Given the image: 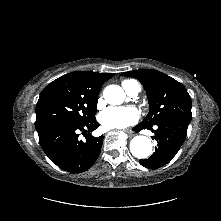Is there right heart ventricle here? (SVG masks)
I'll return each mask as SVG.
<instances>
[{
	"mask_svg": "<svg viewBox=\"0 0 221 221\" xmlns=\"http://www.w3.org/2000/svg\"><path fill=\"white\" fill-rule=\"evenodd\" d=\"M131 83H137V82L134 80H125V81H123L122 85L125 86V85L131 84Z\"/></svg>",
	"mask_w": 221,
	"mask_h": 221,
	"instance_id": "1",
	"label": "right heart ventricle"
}]
</instances>
